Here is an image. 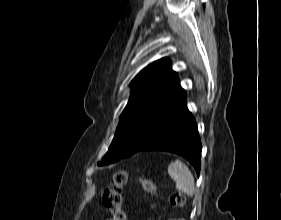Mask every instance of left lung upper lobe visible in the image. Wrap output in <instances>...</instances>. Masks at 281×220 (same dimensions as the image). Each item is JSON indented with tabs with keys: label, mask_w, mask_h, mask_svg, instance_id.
<instances>
[{
	"label": "left lung upper lobe",
	"mask_w": 281,
	"mask_h": 220,
	"mask_svg": "<svg viewBox=\"0 0 281 220\" xmlns=\"http://www.w3.org/2000/svg\"><path fill=\"white\" fill-rule=\"evenodd\" d=\"M130 86L131 96L120 116L113 141L98 165L114 163L137 153L151 140L168 111L185 93L168 58L149 64Z\"/></svg>",
	"instance_id": "1"
}]
</instances>
